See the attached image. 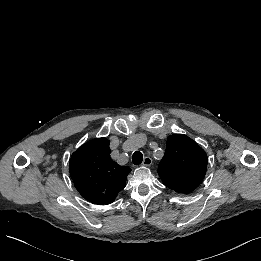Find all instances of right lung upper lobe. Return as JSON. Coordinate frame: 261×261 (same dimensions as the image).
Returning a JSON list of instances; mask_svg holds the SVG:
<instances>
[{"instance_id":"1","label":"right lung upper lobe","mask_w":261,"mask_h":261,"mask_svg":"<svg viewBox=\"0 0 261 261\" xmlns=\"http://www.w3.org/2000/svg\"><path fill=\"white\" fill-rule=\"evenodd\" d=\"M110 141L96 138L82 145L70 159V175L78 192L93 204L104 205L114 201L125 187L131 171L110 158Z\"/></svg>"}]
</instances>
